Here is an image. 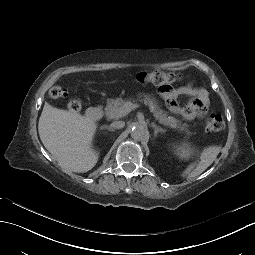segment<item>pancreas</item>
Returning <instances> with one entry per match:
<instances>
[{
  "label": "pancreas",
  "instance_id": "pancreas-1",
  "mask_svg": "<svg viewBox=\"0 0 255 255\" xmlns=\"http://www.w3.org/2000/svg\"><path fill=\"white\" fill-rule=\"evenodd\" d=\"M142 97L141 101L146 105L149 106L150 111L153 113L154 117L160 122V124L164 126H169L171 128H181L185 129L187 127L186 124H181L177 119L174 117L168 116V112L163 111L159 108L155 99L150 98L147 95H140ZM126 104V101L122 98H117L115 100L108 99L107 107L105 108V115L109 119H119L126 115L123 114L122 107Z\"/></svg>",
  "mask_w": 255,
  "mask_h": 255
}]
</instances>
